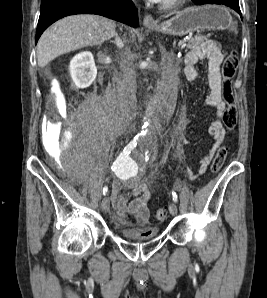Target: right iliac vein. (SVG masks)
Wrapping results in <instances>:
<instances>
[{"mask_svg": "<svg viewBox=\"0 0 267 298\" xmlns=\"http://www.w3.org/2000/svg\"><path fill=\"white\" fill-rule=\"evenodd\" d=\"M110 207V200L108 197H104L101 201V208L103 211H108Z\"/></svg>", "mask_w": 267, "mask_h": 298, "instance_id": "right-iliac-vein-1", "label": "right iliac vein"}]
</instances>
